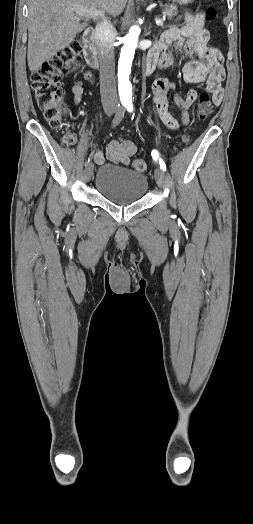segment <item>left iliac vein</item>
I'll list each match as a JSON object with an SVG mask.
<instances>
[{
  "label": "left iliac vein",
  "mask_w": 253,
  "mask_h": 524,
  "mask_svg": "<svg viewBox=\"0 0 253 524\" xmlns=\"http://www.w3.org/2000/svg\"><path fill=\"white\" fill-rule=\"evenodd\" d=\"M155 180L160 188H163L165 186V173L159 167L155 169Z\"/></svg>",
  "instance_id": "left-iliac-vein-1"
}]
</instances>
